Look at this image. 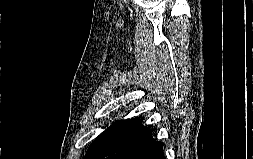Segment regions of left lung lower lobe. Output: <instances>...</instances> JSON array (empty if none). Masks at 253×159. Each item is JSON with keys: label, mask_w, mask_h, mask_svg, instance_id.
<instances>
[{"label": "left lung lower lobe", "mask_w": 253, "mask_h": 159, "mask_svg": "<svg viewBox=\"0 0 253 159\" xmlns=\"http://www.w3.org/2000/svg\"><path fill=\"white\" fill-rule=\"evenodd\" d=\"M163 145L140 119L121 120L94 140L83 159H165Z\"/></svg>", "instance_id": "0a47b994"}]
</instances>
